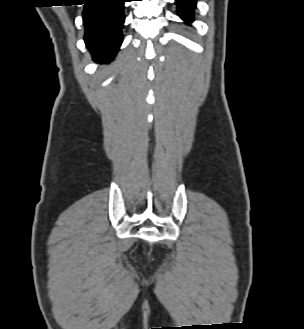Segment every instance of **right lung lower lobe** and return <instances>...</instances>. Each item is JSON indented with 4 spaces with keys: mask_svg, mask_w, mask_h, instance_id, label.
Segmentation results:
<instances>
[{
    "mask_svg": "<svg viewBox=\"0 0 304 329\" xmlns=\"http://www.w3.org/2000/svg\"><path fill=\"white\" fill-rule=\"evenodd\" d=\"M84 41L93 56L111 61L122 44L126 0H84Z\"/></svg>",
    "mask_w": 304,
    "mask_h": 329,
    "instance_id": "right-lung-lower-lobe-1",
    "label": "right lung lower lobe"
}]
</instances>
